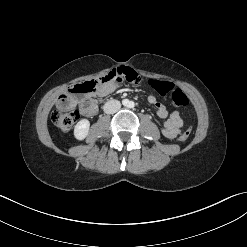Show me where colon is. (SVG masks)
<instances>
[{
  "label": "colon",
  "instance_id": "obj_1",
  "mask_svg": "<svg viewBox=\"0 0 247 247\" xmlns=\"http://www.w3.org/2000/svg\"><path fill=\"white\" fill-rule=\"evenodd\" d=\"M117 79L115 71L110 72L99 81H87L73 86L69 93L63 95L58 103L57 108L52 112L51 119L56 127L62 131H68L79 118V112L75 108L76 95H92L97 92L100 86ZM126 79L132 83H137L139 78L137 75L128 74ZM150 86L161 96H169L175 106L184 107L188 105L189 100L184 92L176 89L172 83L166 81L150 80ZM87 103L93 102L92 99L85 100ZM191 130H185L180 136V141H186L190 136Z\"/></svg>",
  "mask_w": 247,
  "mask_h": 247
}]
</instances>
